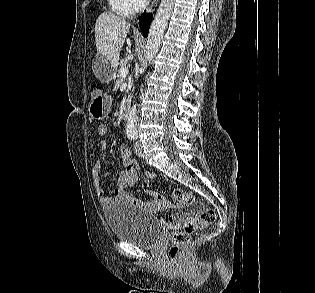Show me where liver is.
Returning a JSON list of instances; mask_svg holds the SVG:
<instances>
[{
	"label": "liver",
	"instance_id": "liver-1",
	"mask_svg": "<svg viewBox=\"0 0 315 293\" xmlns=\"http://www.w3.org/2000/svg\"><path fill=\"white\" fill-rule=\"evenodd\" d=\"M130 23L111 12L99 15L95 24V44L97 53L110 64L116 66L119 61L125 37Z\"/></svg>",
	"mask_w": 315,
	"mask_h": 293
}]
</instances>
